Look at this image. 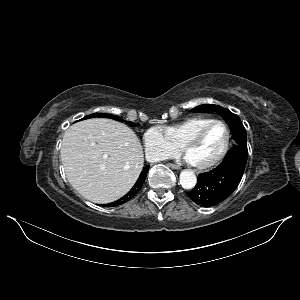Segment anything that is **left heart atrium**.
Here are the masks:
<instances>
[{
	"instance_id": "obj_1",
	"label": "left heart atrium",
	"mask_w": 300,
	"mask_h": 300,
	"mask_svg": "<svg viewBox=\"0 0 300 300\" xmlns=\"http://www.w3.org/2000/svg\"><path fill=\"white\" fill-rule=\"evenodd\" d=\"M186 160H187L189 163H191V161L189 160V158H188V157H186Z\"/></svg>"
}]
</instances>
